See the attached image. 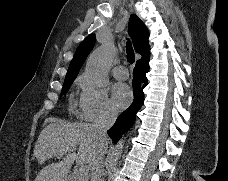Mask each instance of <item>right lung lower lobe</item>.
Returning <instances> with one entry per match:
<instances>
[{"label": "right lung lower lobe", "mask_w": 228, "mask_h": 181, "mask_svg": "<svg viewBox=\"0 0 228 181\" xmlns=\"http://www.w3.org/2000/svg\"><path fill=\"white\" fill-rule=\"evenodd\" d=\"M149 57L150 55L136 62L132 81L134 100L130 107L117 118L112 128L107 131L114 143H117L122 134L133 125L136 114L142 107L144 100L143 88L147 85L146 73L149 71Z\"/></svg>", "instance_id": "obj_1"}]
</instances>
